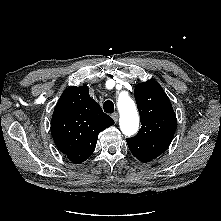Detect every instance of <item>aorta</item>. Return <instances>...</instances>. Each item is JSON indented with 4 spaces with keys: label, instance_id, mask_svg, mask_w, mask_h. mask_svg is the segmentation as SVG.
<instances>
[{
    "label": "aorta",
    "instance_id": "1",
    "mask_svg": "<svg viewBox=\"0 0 221 221\" xmlns=\"http://www.w3.org/2000/svg\"><path fill=\"white\" fill-rule=\"evenodd\" d=\"M120 113L119 124L126 136L134 135L139 128V115L133 99L129 95L120 94L117 101Z\"/></svg>",
    "mask_w": 221,
    "mask_h": 221
}]
</instances>
